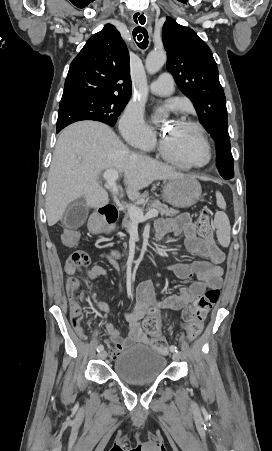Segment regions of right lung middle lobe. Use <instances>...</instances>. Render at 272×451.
Returning a JSON list of instances; mask_svg holds the SVG:
<instances>
[{
    "label": "right lung middle lobe",
    "instance_id": "1",
    "mask_svg": "<svg viewBox=\"0 0 272 451\" xmlns=\"http://www.w3.org/2000/svg\"><path fill=\"white\" fill-rule=\"evenodd\" d=\"M129 99L118 97L84 96L61 100L57 129L81 120H95L113 127Z\"/></svg>",
    "mask_w": 272,
    "mask_h": 451
}]
</instances>
